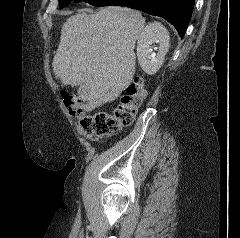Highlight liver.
Wrapping results in <instances>:
<instances>
[{
    "instance_id": "liver-1",
    "label": "liver",
    "mask_w": 240,
    "mask_h": 238,
    "mask_svg": "<svg viewBox=\"0 0 240 238\" xmlns=\"http://www.w3.org/2000/svg\"><path fill=\"white\" fill-rule=\"evenodd\" d=\"M145 24L141 13L105 7L96 14L82 11L61 29L53 71L62 85L82 86L86 111L117 99L135 74V42Z\"/></svg>"
}]
</instances>
